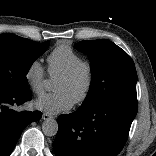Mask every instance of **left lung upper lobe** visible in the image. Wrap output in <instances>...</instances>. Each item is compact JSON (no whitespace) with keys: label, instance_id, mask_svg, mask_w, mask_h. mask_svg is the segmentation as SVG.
Here are the masks:
<instances>
[{"label":"left lung upper lobe","instance_id":"5c2ea615","mask_svg":"<svg viewBox=\"0 0 156 156\" xmlns=\"http://www.w3.org/2000/svg\"><path fill=\"white\" fill-rule=\"evenodd\" d=\"M75 48L87 54L92 82L80 109L108 101L137 105V73L131 57L109 40H85Z\"/></svg>","mask_w":156,"mask_h":156}]
</instances>
